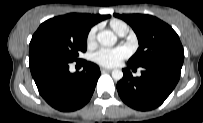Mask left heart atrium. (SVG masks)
<instances>
[{"instance_id": "1", "label": "left heart atrium", "mask_w": 203, "mask_h": 123, "mask_svg": "<svg viewBox=\"0 0 203 123\" xmlns=\"http://www.w3.org/2000/svg\"><path fill=\"white\" fill-rule=\"evenodd\" d=\"M128 48L124 46L115 48H101L94 53V61L104 67H114L119 65L125 58L129 56Z\"/></svg>"}]
</instances>
